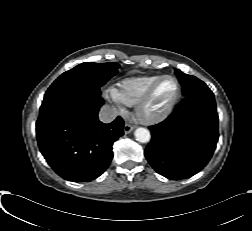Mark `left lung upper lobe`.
I'll return each instance as SVG.
<instances>
[{"instance_id": "5c2ea615", "label": "left lung upper lobe", "mask_w": 252, "mask_h": 231, "mask_svg": "<svg viewBox=\"0 0 252 231\" xmlns=\"http://www.w3.org/2000/svg\"><path fill=\"white\" fill-rule=\"evenodd\" d=\"M180 83L183 86V95L188 96L196 93L211 92L208 86L198 78L185 74L178 69H175Z\"/></svg>"}]
</instances>
